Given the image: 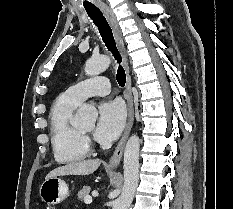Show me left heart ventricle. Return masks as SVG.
I'll return each instance as SVG.
<instances>
[{"label":"left heart ventricle","mask_w":233,"mask_h":209,"mask_svg":"<svg viewBox=\"0 0 233 209\" xmlns=\"http://www.w3.org/2000/svg\"><path fill=\"white\" fill-rule=\"evenodd\" d=\"M91 131V129H84L83 132L85 133H89Z\"/></svg>","instance_id":"left-heart-ventricle-1"}]
</instances>
